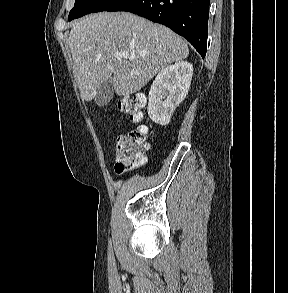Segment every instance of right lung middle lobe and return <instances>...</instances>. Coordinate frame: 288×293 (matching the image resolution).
<instances>
[{
    "mask_svg": "<svg viewBox=\"0 0 288 293\" xmlns=\"http://www.w3.org/2000/svg\"><path fill=\"white\" fill-rule=\"evenodd\" d=\"M118 0H75L74 8L70 11L68 20L82 17L89 13L105 11Z\"/></svg>",
    "mask_w": 288,
    "mask_h": 293,
    "instance_id": "1",
    "label": "right lung middle lobe"
}]
</instances>
